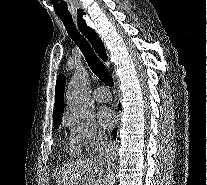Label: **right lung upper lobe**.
<instances>
[{
	"mask_svg": "<svg viewBox=\"0 0 207 185\" xmlns=\"http://www.w3.org/2000/svg\"><path fill=\"white\" fill-rule=\"evenodd\" d=\"M66 78L63 74L57 77L56 90H55V107L53 111L54 127L58 128L64 112V89Z\"/></svg>",
	"mask_w": 207,
	"mask_h": 185,
	"instance_id": "right-lung-upper-lobe-1",
	"label": "right lung upper lobe"
}]
</instances>
